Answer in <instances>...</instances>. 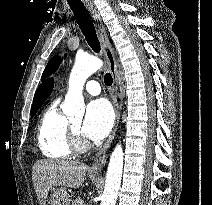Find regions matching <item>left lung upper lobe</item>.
Here are the masks:
<instances>
[{
  "label": "left lung upper lobe",
  "mask_w": 212,
  "mask_h": 205,
  "mask_svg": "<svg viewBox=\"0 0 212 205\" xmlns=\"http://www.w3.org/2000/svg\"><path fill=\"white\" fill-rule=\"evenodd\" d=\"M60 63H61L60 56L59 55L53 56L49 60L47 66L45 67V70H44V72L42 74V80H44L48 75H50V73L55 72L58 69Z\"/></svg>",
  "instance_id": "1"
}]
</instances>
